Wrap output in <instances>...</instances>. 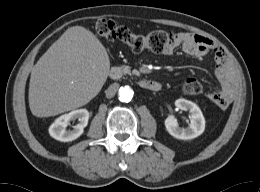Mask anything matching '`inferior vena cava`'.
<instances>
[{"label":"inferior vena cava","mask_w":260,"mask_h":192,"mask_svg":"<svg viewBox=\"0 0 260 192\" xmlns=\"http://www.w3.org/2000/svg\"><path fill=\"white\" fill-rule=\"evenodd\" d=\"M117 88H118V84H113L111 85L107 90H106V97L107 98H112L116 91H117Z\"/></svg>","instance_id":"602c4592"}]
</instances>
